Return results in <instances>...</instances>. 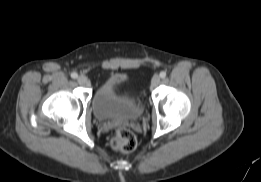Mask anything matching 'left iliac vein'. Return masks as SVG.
I'll return each instance as SVG.
<instances>
[{
  "instance_id": "1",
  "label": "left iliac vein",
  "mask_w": 261,
  "mask_h": 182,
  "mask_svg": "<svg viewBox=\"0 0 261 182\" xmlns=\"http://www.w3.org/2000/svg\"><path fill=\"white\" fill-rule=\"evenodd\" d=\"M159 83H160V77L158 75H154L152 80H151L152 87L158 86Z\"/></svg>"
}]
</instances>
